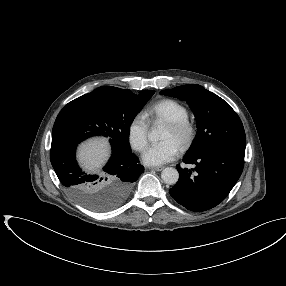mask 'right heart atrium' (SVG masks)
I'll return each mask as SVG.
<instances>
[{
    "label": "right heart atrium",
    "mask_w": 286,
    "mask_h": 286,
    "mask_svg": "<svg viewBox=\"0 0 286 286\" xmlns=\"http://www.w3.org/2000/svg\"><path fill=\"white\" fill-rule=\"evenodd\" d=\"M149 123L143 114H137L130 121L127 137L130 145L136 151H143L148 143Z\"/></svg>",
    "instance_id": "1"
}]
</instances>
